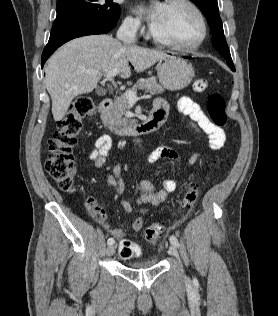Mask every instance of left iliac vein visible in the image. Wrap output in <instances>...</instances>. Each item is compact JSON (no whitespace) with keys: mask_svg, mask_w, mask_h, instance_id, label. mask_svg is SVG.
<instances>
[{"mask_svg":"<svg viewBox=\"0 0 278 316\" xmlns=\"http://www.w3.org/2000/svg\"><path fill=\"white\" fill-rule=\"evenodd\" d=\"M168 253H169L171 256L175 257L176 259H179L178 251H177V249H176V247H175L174 245H171V246L169 247Z\"/></svg>","mask_w":278,"mask_h":316,"instance_id":"left-iliac-vein-1","label":"left iliac vein"}]
</instances>
